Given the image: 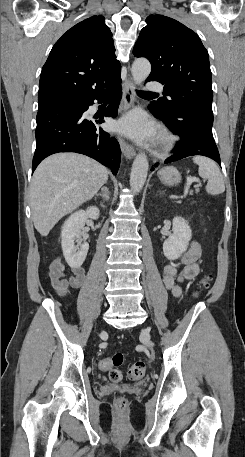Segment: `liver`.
I'll return each instance as SVG.
<instances>
[{"mask_svg": "<svg viewBox=\"0 0 245 457\" xmlns=\"http://www.w3.org/2000/svg\"><path fill=\"white\" fill-rule=\"evenodd\" d=\"M106 166L77 152H57L37 166L30 186L32 220L41 237L108 180Z\"/></svg>", "mask_w": 245, "mask_h": 457, "instance_id": "liver-1", "label": "liver"}]
</instances>
